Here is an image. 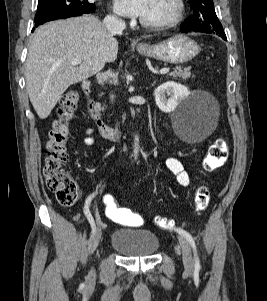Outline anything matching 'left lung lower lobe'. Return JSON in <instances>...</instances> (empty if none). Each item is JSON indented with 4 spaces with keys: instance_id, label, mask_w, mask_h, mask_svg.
I'll return each instance as SVG.
<instances>
[{
    "instance_id": "left-lung-lower-lobe-1",
    "label": "left lung lower lobe",
    "mask_w": 267,
    "mask_h": 301,
    "mask_svg": "<svg viewBox=\"0 0 267 301\" xmlns=\"http://www.w3.org/2000/svg\"><path fill=\"white\" fill-rule=\"evenodd\" d=\"M181 31L184 32V33H187V32H190V31H193V32H202V31H197V30H191V29H187V28H181ZM206 33V32H204ZM218 36L222 37L224 40H226V35L225 34H217Z\"/></svg>"
}]
</instances>
